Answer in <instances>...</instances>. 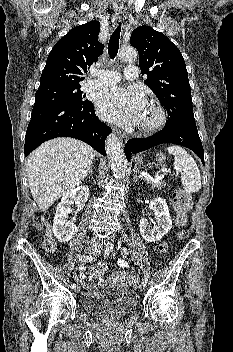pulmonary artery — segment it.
Masks as SVG:
<instances>
[{
  "label": "pulmonary artery",
  "instance_id": "obj_1",
  "mask_svg": "<svg viewBox=\"0 0 233 352\" xmlns=\"http://www.w3.org/2000/svg\"><path fill=\"white\" fill-rule=\"evenodd\" d=\"M95 79L84 84V90L92 91L102 87L110 86L120 80V74L116 71L97 70L93 72ZM124 77L128 80H135L138 77V68L129 65L125 68Z\"/></svg>",
  "mask_w": 233,
  "mask_h": 352
}]
</instances>
